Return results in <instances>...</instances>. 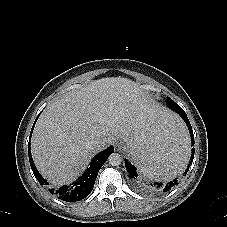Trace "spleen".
Returning <instances> with one entry per match:
<instances>
[{
    "instance_id": "spleen-1",
    "label": "spleen",
    "mask_w": 227,
    "mask_h": 227,
    "mask_svg": "<svg viewBox=\"0 0 227 227\" xmlns=\"http://www.w3.org/2000/svg\"><path fill=\"white\" fill-rule=\"evenodd\" d=\"M125 142L128 158L150 178L173 179L188 162L189 138L183 121L167 108L129 129Z\"/></svg>"
}]
</instances>
